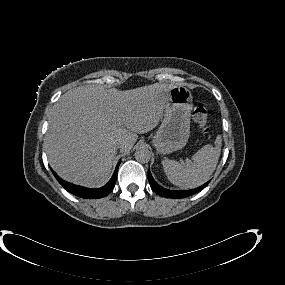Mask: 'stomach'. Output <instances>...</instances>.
<instances>
[{
    "mask_svg": "<svg viewBox=\"0 0 285 285\" xmlns=\"http://www.w3.org/2000/svg\"><path fill=\"white\" fill-rule=\"evenodd\" d=\"M192 96L185 86H174L168 93L165 114L153 145L161 154L182 149L189 139Z\"/></svg>",
    "mask_w": 285,
    "mask_h": 285,
    "instance_id": "obj_1",
    "label": "stomach"
}]
</instances>
